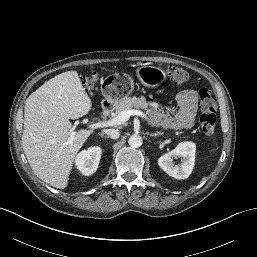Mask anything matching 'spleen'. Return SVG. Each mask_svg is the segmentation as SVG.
I'll use <instances>...</instances> for the list:
<instances>
[{
  "mask_svg": "<svg viewBox=\"0 0 257 257\" xmlns=\"http://www.w3.org/2000/svg\"><path fill=\"white\" fill-rule=\"evenodd\" d=\"M210 152H211V153H213V152H214V150H211Z\"/></svg>",
  "mask_w": 257,
  "mask_h": 257,
  "instance_id": "1",
  "label": "spleen"
}]
</instances>
